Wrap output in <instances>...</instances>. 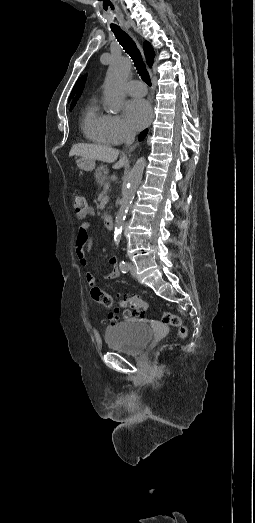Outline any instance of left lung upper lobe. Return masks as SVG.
I'll return each mask as SVG.
<instances>
[{
  "mask_svg": "<svg viewBox=\"0 0 255 523\" xmlns=\"http://www.w3.org/2000/svg\"><path fill=\"white\" fill-rule=\"evenodd\" d=\"M84 82H85V80H84ZM84 82H83V84H82V86H81V88H80V90H79L77 96H76L75 99L72 101L71 106H70V110L75 106L77 99L80 97V95H81V93H82V90H83V87H84Z\"/></svg>",
  "mask_w": 255,
  "mask_h": 523,
  "instance_id": "5c2ea615",
  "label": "left lung upper lobe"
}]
</instances>
